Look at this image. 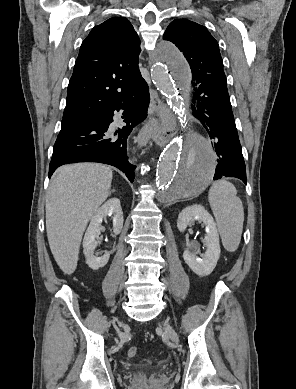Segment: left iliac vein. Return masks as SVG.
Wrapping results in <instances>:
<instances>
[{
	"instance_id": "1",
	"label": "left iliac vein",
	"mask_w": 296,
	"mask_h": 389,
	"mask_svg": "<svg viewBox=\"0 0 296 389\" xmlns=\"http://www.w3.org/2000/svg\"><path fill=\"white\" fill-rule=\"evenodd\" d=\"M163 327H164V330L167 333L168 337L173 342L178 343L179 342V338H178L177 333L174 331V329L167 322L163 323Z\"/></svg>"
}]
</instances>
